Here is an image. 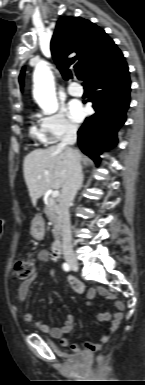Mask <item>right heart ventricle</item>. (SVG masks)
<instances>
[{
  "mask_svg": "<svg viewBox=\"0 0 145 385\" xmlns=\"http://www.w3.org/2000/svg\"><path fill=\"white\" fill-rule=\"evenodd\" d=\"M30 134L31 136H33L34 138H37L41 141L44 140V136H43V133L41 131V129H38L35 125H33L31 128H30Z\"/></svg>",
  "mask_w": 145,
  "mask_h": 385,
  "instance_id": "1",
  "label": "right heart ventricle"
}]
</instances>
